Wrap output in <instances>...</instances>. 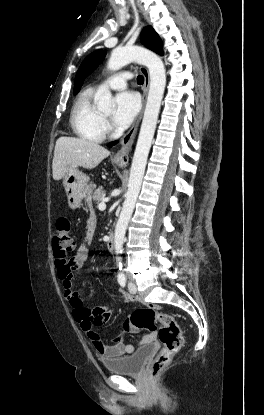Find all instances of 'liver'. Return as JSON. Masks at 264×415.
Here are the masks:
<instances>
[{"mask_svg":"<svg viewBox=\"0 0 264 415\" xmlns=\"http://www.w3.org/2000/svg\"><path fill=\"white\" fill-rule=\"evenodd\" d=\"M110 155L101 145L75 137H60L56 141L52 162L53 179L60 180L70 166L93 169Z\"/></svg>","mask_w":264,"mask_h":415,"instance_id":"1","label":"liver"}]
</instances>
